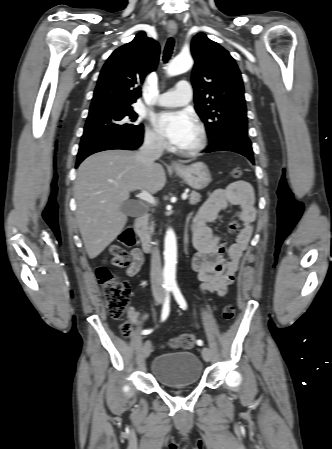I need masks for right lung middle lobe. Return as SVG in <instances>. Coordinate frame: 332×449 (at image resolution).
Masks as SVG:
<instances>
[{"instance_id": "right-lung-middle-lobe-1", "label": "right lung middle lobe", "mask_w": 332, "mask_h": 449, "mask_svg": "<svg viewBox=\"0 0 332 449\" xmlns=\"http://www.w3.org/2000/svg\"><path fill=\"white\" fill-rule=\"evenodd\" d=\"M138 115L132 107L90 112L82 140L98 136L134 137L143 133V126L136 125Z\"/></svg>"}]
</instances>
